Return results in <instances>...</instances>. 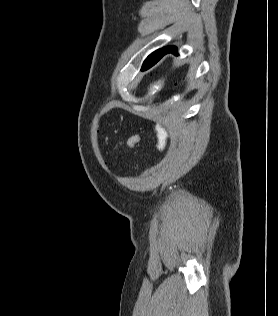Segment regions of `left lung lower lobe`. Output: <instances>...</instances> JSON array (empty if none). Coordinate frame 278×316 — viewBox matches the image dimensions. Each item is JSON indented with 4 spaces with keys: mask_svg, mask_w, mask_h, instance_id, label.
Instances as JSON below:
<instances>
[{
    "mask_svg": "<svg viewBox=\"0 0 278 316\" xmlns=\"http://www.w3.org/2000/svg\"><path fill=\"white\" fill-rule=\"evenodd\" d=\"M168 53H172V54H174V55H178V53H177V47H175V46H168L167 48H165V50L162 52V54H161V58L164 56V55H166V54H168ZM160 58V59H161Z\"/></svg>",
    "mask_w": 278,
    "mask_h": 316,
    "instance_id": "1",
    "label": "left lung lower lobe"
}]
</instances>
